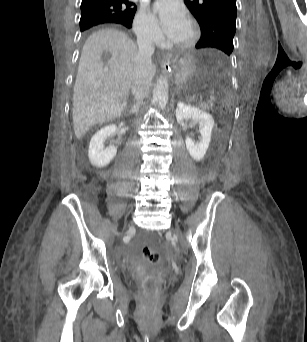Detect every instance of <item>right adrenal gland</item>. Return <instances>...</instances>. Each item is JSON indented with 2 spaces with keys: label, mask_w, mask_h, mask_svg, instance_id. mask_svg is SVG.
<instances>
[{
  "label": "right adrenal gland",
  "mask_w": 307,
  "mask_h": 342,
  "mask_svg": "<svg viewBox=\"0 0 307 342\" xmlns=\"http://www.w3.org/2000/svg\"><path fill=\"white\" fill-rule=\"evenodd\" d=\"M136 110H137L136 106H133L132 110H130V114H135Z\"/></svg>",
  "instance_id": "obj_1"
}]
</instances>
